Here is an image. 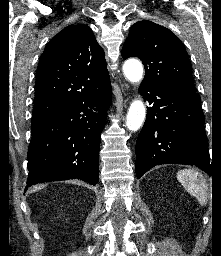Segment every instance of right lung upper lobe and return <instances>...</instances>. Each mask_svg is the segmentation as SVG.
<instances>
[{
  "label": "right lung upper lobe",
  "mask_w": 221,
  "mask_h": 256,
  "mask_svg": "<svg viewBox=\"0 0 221 256\" xmlns=\"http://www.w3.org/2000/svg\"><path fill=\"white\" fill-rule=\"evenodd\" d=\"M104 51L91 28L69 25L47 44L38 64L33 118L110 86Z\"/></svg>",
  "instance_id": "cb5924a9"
}]
</instances>
